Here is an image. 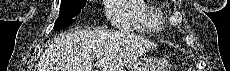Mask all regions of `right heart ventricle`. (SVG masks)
Returning a JSON list of instances; mask_svg holds the SVG:
<instances>
[{
    "mask_svg": "<svg viewBox=\"0 0 230 71\" xmlns=\"http://www.w3.org/2000/svg\"><path fill=\"white\" fill-rule=\"evenodd\" d=\"M108 14L112 24L122 30L157 31L161 24L159 10L144 0L110 1Z\"/></svg>",
    "mask_w": 230,
    "mask_h": 71,
    "instance_id": "1",
    "label": "right heart ventricle"
}]
</instances>
